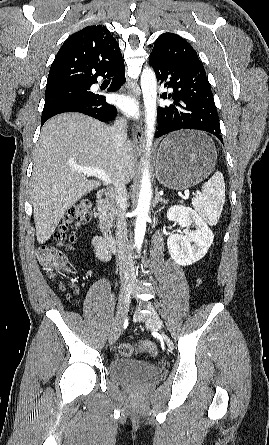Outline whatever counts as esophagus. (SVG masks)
Listing matches in <instances>:
<instances>
[{"label":"esophagus","mask_w":269,"mask_h":445,"mask_svg":"<svg viewBox=\"0 0 269 445\" xmlns=\"http://www.w3.org/2000/svg\"><path fill=\"white\" fill-rule=\"evenodd\" d=\"M123 92L124 93H129L133 96H135L136 98L140 97V90L138 87H135L133 85L130 84H126L125 87L123 88ZM132 139H133V143L134 146L136 148H142L143 144H144V132L141 128H137L136 130H133L132 132Z\"/></svg>","instance_id":"esophagus-1"}]
</instances>
